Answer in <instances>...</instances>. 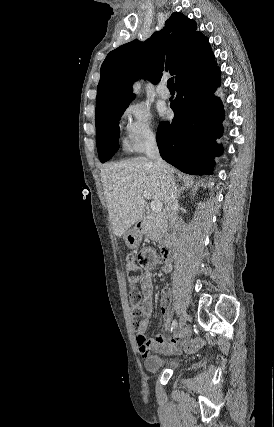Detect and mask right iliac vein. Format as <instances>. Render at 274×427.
<instances>
[{
	"label": "right iliac vein",
	"mask_w": 274,
	"mask_h": 427,
	"mask_svg": "<svg viewBox=\"0 0 274 427\" xmlns=\"http://www.w3.org/2000/svg\"><path fill=\"white\" fill-rule=\"evenodd\" d=\"M187 317L188 316L185 313V311H182L180 319H179L178 331H181L184 328Z\"/></svg>",
	"instance_id": "63e3f726"
}]
</instances>
